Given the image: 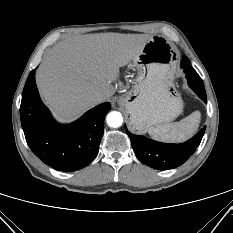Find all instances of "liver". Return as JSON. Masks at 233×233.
<instances>
[{
    "label": "liver",
    "mask_w": 233,
    "mask_h": 233,
    "mask_svg": "<svg viewBox=\"0 0 233 233\" xmlns=\"http://www.w3.org/2000/svg\"><path fill=\"white\" fill-rule=\"evenodd\" d=\"M152 38L148 34H86L60 41L49 49L37 69L36 84L57 119H76L99 102L110 99L119 69L133 61Z\"/></svg>",
    "instance_id": "obj_1"
}]
</instances>
